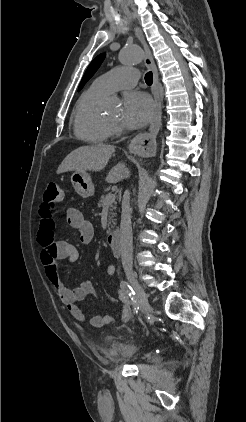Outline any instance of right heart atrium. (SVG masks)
I'll use <instances>...</instances> for the list:
<instances>
[{
    "mask_svg": "<svg viewBox=\"0 0 246 422\" xmlns=\"http://www.w3.org/2000/svg\"><path fill=\"white\" fill-rule=\"evenodd\" d=\"M110 132H111V135H117L120 133V128L116 124H111Z\"/></svg>",
    "mask_w": 246,
    "mask_h": 422,
    "instance_id": "right-heart-atrium-1",
    "label": "right heart atrium"
}]
</instances>
